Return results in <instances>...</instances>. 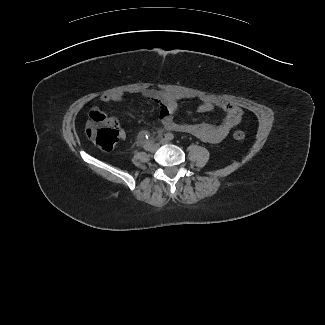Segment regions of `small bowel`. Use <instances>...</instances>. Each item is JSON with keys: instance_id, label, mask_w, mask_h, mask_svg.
<instances>
[{"instance_id": "small-bowel-1", "label": "small bowel", "mask_w": 325, "mask_h": 325, "mask_svg": "<svg viewBox=\"0 0 325 325\" xmlns=\"http://www.w3.org/2000/svg\"><path fill=\"white\" fill-rule=\"evenodd\" d=\"M140 94L146 100L155 102L160 106V119L162 120L165 130L188 133L198 137L199 139L209 142L218 143L222 141L241 120L242 110L236 105L210 97L208 95H197L190 92L179 90H159V89H143ZM185 99H198L200 105L198 111L206 113L214 108H219L226 113L223 121L218 124L210 123H181L175 120L177 112V102ZM101 102H124L125 94L121 91H108L99 96ZM91 111H100L98 107H93ZM101 112V111H100ZM126 133L120 130V137L125 138Z\"/></svg>"}]
</instances>
